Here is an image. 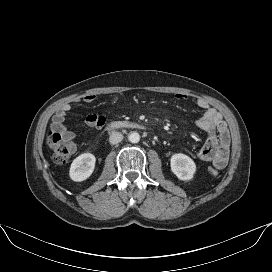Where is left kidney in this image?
I'll use <instances>...</instances> for the list:
<instances>
[{
	"instance_id": "5707ae66",
	"label": "left kidney",
	"mask_w": 272,
	"mask_h": 272,
	"mask_svg": "<svg viewBox=\"0 0 272 272\" xmlns=\"http://www.w3.org/2000/svg\"><path fill=\"white\" fill-rule=\"evenodd\" d=\"M170 167L171 171L180 180H191L196 171L194 161L189 156L182 153L171 156Z\"/></svg>"
}]
</instances>
